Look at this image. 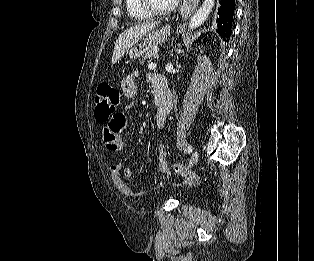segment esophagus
<instances>
[{
    "instance_id": "34e87169",
    "label": "esophagus",
    "mask_w": 314,
    "mask_h": 261,
    "mask_svg": "<svg viewBox=\"0 0 314 261\" xmlns=\"http://www.w3.org/2000/svg\"><path fill=\"white\" fill-rule=\"evenodd\" d=\"M198 3L199 0H184L180 8L181 13L184 14L186 17L190 16L198 6Z\"/></svg>"
}]
</instances>
